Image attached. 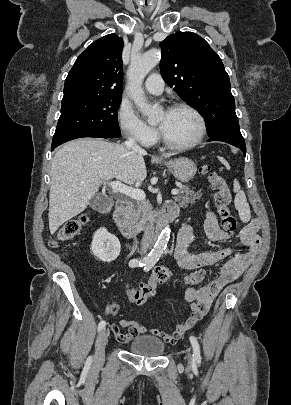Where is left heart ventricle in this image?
<instances>
[{
  "label": "left heart ventricle",
  "instance_id": "obj_1",
  "mask_svg": "<svg viewBox=\"0 0 291 405\" xmlns=\"http://www.w3.org/2000/svg\"><path fill=\"white\" fill-rule=\"evenodd\" d=\"M156 125L169 141L176 144L191 142L199 132L197 118L184 109L161 112L156 119Z\"/></svg>",
  "mask_w": 291,
  "mask_h": 405
}]
</instances>
